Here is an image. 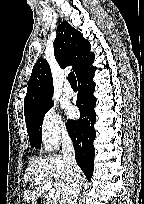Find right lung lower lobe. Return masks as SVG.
Wrapping results in <instances>:
<instances>
[{
	"label": "right lung lower lobe",
	"mask_w": 144,
	"mask_h": 204,
	"mask_svg": "<svg viewBox=\"0 0 144 204\" xmlns=\"http://www.w3.org/2000/svg\"><path fill=\"white\" fill-rule=\"evenodd\" d=\"M96 67L91 66L78 77L79 93L76 105L81 116L75 120H68L67 129L75 148L76 161L90 181L94 167V146L96 136L94 129L96 98L93 96L95 83L93 76Z\"/></svg>",
	"instance_id": "right-lung-lower-lobe-1"
}]
</instances>
